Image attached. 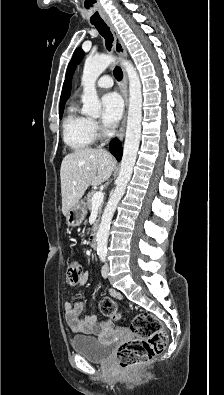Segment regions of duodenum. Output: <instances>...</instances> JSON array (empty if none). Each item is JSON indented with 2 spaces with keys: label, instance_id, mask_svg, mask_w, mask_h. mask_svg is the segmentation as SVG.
Here are the masks:
<instances>
[{
  "label": "duodenum",
  "instance_id": "410a0bca",
  "mask_svg": "<svg viewBox=\"0 0 224 395\" xmlns=\"http://www.w3.org/2000/svg\"><path fill=\"white\" fill-rule=\"evenodd\" d=\"M98 232H99V223L95 222L93 227H92L91 233L89 235V245L92 248H96V246H97V235H98Z\"/></svg>",
  "mask_w": 224,
  "mask_h": 395
}]
</instances>
